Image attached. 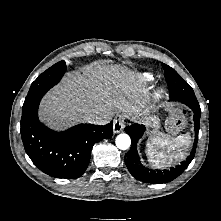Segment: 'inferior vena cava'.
I'll list each match as a JSON object with an SVG mask.
<instances>
[{
  "mask_svg": "<svg viewBox=\"0 0 221 221\" xmlns=\"http://www.w3.org/2000/svg\"><path fill=\"white\" fill-rule=\"evenodd\" d=\"M97 118H98V115H96V114H94V113L89 114V116H88V120H95V119H97Z\"/></svg>",
  "mask_w": 221,
  "mask_h": 221,
  "instance_id": "1",
  "label": "inferior vena cava"
}]
</instances>
